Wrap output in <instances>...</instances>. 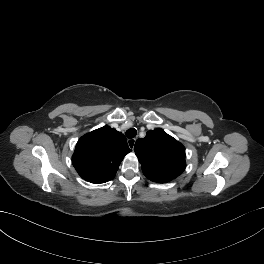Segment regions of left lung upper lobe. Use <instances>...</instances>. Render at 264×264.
Listing matches in <instances>:
<instances>
[{"label": "left lung upper lobe", "instance_id": "obj_1", "mask_svg": "<svg viewBox=\"0 0 264 264\" xmlns=\"http://www.w3.org/2000/svg\"><path fill=\"white\" fill-rule=\"evenodd\" d=\"M134 150L144 175L154 182L171 181L186 167L184 146L160 128L139 138Z\"/></svg>", "mask_w": 264, "mask_h": 264}]
</instances>
